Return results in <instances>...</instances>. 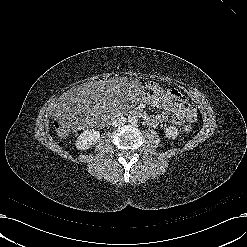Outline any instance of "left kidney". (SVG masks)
<instances>
[{"label": "left kidney", "mask_w": 247, "mask_h": 247, "mask_svg": "<svg viewBox=\"0 0 247 247\" xmlns=\"http://www.w3.org/2000/svg\"><path fill=\"white\" fill-rule=\"evenodd\" d=\"M165 135L169 139H175L178 136V129L173 126H169L165 129Z\"/></svg>", "instance_id": "obj_1"}]
</instances>
